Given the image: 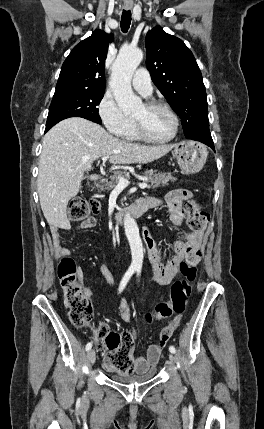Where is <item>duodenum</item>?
Wrapping results in <instances>:
<instances>
[{"mask_svg":"<svg viewBox=\"0 0 264 429\" xmlns=\"http://www.w3.org/2000/svg\"><path fill=\"white\" fill-rule=\"evenodd\" d=\"M100 179V175L92 174L90 176L91 181H97ZM149 210V206L145 203H136L128 210L122 213H114L111 216V220L114 224L121 223L126 217H140Z\"/></svg>","mask_w":264,"mask_h":429,"instance_id":"1","label":"duodenum"}]
</instances>
